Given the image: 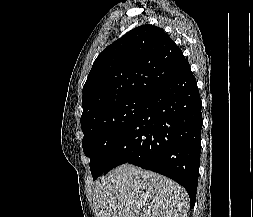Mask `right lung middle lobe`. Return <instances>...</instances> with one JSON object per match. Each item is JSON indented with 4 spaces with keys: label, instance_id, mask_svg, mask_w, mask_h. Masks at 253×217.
I'll return each instance as SVG.
<instances>
[{
    "label": "right lung middle lobe",
    "instance_id": "obj_1",
    "mask_svg": "<svg viewBox=\"0 0 253 217\" xmlns=\"http://www.w3.org/2000/svg\"><path fill=\"white\" fill-rule=\"evenodd\" d=\"M146 97H131L111 104L90 116L81 124L82 147L90 158V170L95 180L104 173L114 148L144 108Z\"/></svg>",
    "mask_w": 253,
    "mask_h": 217
}]
</instances>
